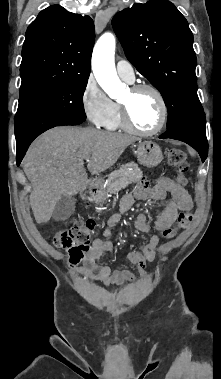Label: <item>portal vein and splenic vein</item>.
<instances>
[{
  "label": "portal vein and splenic vein",
  "mask_w": 221,
  "mask_h": 379,
  "mask_svg": "<svg viewBox=\"0 0 221 379\" xmlns=\"http://www.w3.org/2000/svg\"><path fill=\"white\" fill-rule=\"evenodd\" d=\"M85 160H86L87 162H89V161H90V158H86Z\"/></svg>",
  "instance_id": "1"
}]
</instances>
